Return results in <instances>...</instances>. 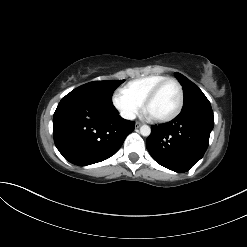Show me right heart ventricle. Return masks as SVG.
Masks as SVG:
<instances>
[{
    "mask_svg": "<svg viewBox=\"0 0 247 247\" xmlns=\"http://www.w3.org/2000/svg\"><path fill=\"white\" fill-rule=\"evenodd\" d=\"M165 75H149L130 81L122 90L133 99L142 103L147 94L162 80Z\"/></svg>",
    "mask_w": 247,
    "mask_h": 247,
    "instance_id": "1",
    "label": "right heart ventricle"
}]
</instances>
